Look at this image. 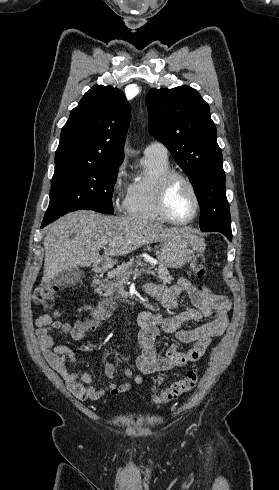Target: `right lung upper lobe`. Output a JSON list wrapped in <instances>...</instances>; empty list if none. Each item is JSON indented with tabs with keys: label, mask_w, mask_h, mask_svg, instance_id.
Masks as SVG:
<instances>
[{
	"label": "right lung upper lobe",
	"mask_w": 279,
	"mask_h": 490,
	"mask_svg": "<svg viewBox=\"0 0 279 490\" xmlns=\"http://www.w3.org/2000/svg\"><path fill=\"white\" fill-rule=\"evenodd\" d=\"M130 118V108L120 89L94 86L62 128L55 166L123 162Z\"/></svg>",
	"instance_id": "right-lung-upper-lobe-1"
}]
</instances>
